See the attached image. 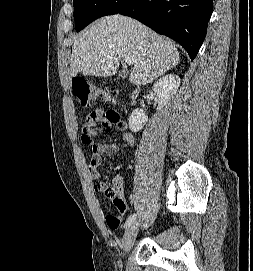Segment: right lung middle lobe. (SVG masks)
<instances>
[{"mask_svg": "<svg viewBox=\"0 0 253 271\" xmlns=\"http://www.w3.org/2000/svg\"><path fill=\"white\" fill-rule=\"evenodd\" d=\"M126 0H73L76 31L106 15L116 14Z\"/></svg>", "mask_w": 253, "mask_h": 271, "instance_id": "obj_1", "label": "right lung middle lobe"}]
</instances>
